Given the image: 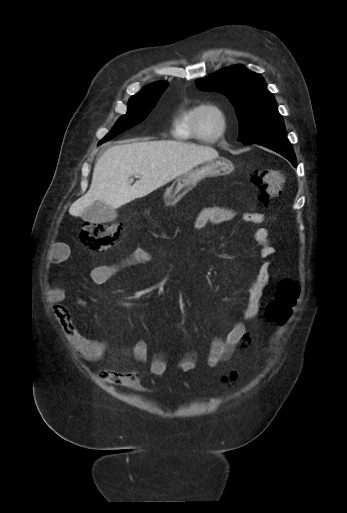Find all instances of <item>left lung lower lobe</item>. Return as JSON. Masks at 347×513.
<instances>
[{"label":"left lung lower lobe","instance_id":"0a47b994","mask_svg":"<svg viewBox=\"0 0 347 513\" xmlns=\"http://www.w3.org/2000/svg\"><path fill=\"white\" fill-rule=\"evenodd\" d=\"M257 144L267 147L287 158L296 167V157L287 138H274L258 142Z\"/></svg>","mask_w":347,"mask_h":513}]
</instances>
